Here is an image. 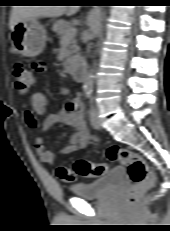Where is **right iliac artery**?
Returning <instances> with one entry per match:
<instances>
[{
	"label": "right iliac artery",
	"instance_id": "82829eb1",
	"mask_svg": "<svg viewBox=\"0 0 170 231\" xmlns=\"http://www.w3.org/2000/svg\"><path fill=\"white\" fill-rule=\"evenodd\" d=\"M84 92H85L86 95H88L90 91L85 89Z\"/></svg>",
	"mask_w": 170,
	"mask_h": 231
}]
</instances>
